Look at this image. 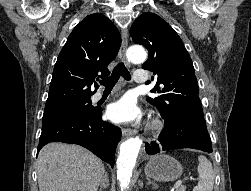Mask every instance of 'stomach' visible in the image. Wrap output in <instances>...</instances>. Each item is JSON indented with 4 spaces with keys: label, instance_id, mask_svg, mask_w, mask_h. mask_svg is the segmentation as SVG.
<instances>
[{
    "label": "stomach",
    "instance_id": "stomach-1",
    "mask_svg": "<svg viewBox=\"0 0 251 191\" xmlns=\"http://www.w3.org/2000/svg\"><path fill=\"white\" fill-rule=\"evenodd\" d=\"M147 177L158 179V181H173L178 179L183 173V167L177 159L171 155H153L145 165L144 169Z\"/></svg>",
    "mask_w": 251,
    "mask_h": 191
}]
</instances>
